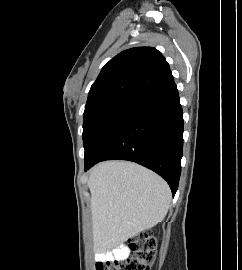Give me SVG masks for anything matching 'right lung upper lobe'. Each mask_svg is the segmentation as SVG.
<instances>
[{
  "label": "right lung upper lobe",
  "mask_w": 242,
  "mask_h": 270,
  "mask_svg": "<svg viewBox=\"0 0 242 270\" xmlns=\"http://www.w3.org/2000/svg\"><path fill=\"white\" fill-rule=\"evenodd\" d=\"M173 83L169 65L157 49L131 48L104 65L91 86L85 111L116 101L138 104Z\"/></svg>",
  "instance_id": "cb5924a9"
}]
</instances>
